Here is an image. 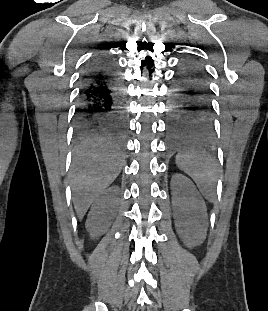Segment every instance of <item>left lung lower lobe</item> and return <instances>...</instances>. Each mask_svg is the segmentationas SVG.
<instances>
[{"mask_svg": "<svg viewBox=\"0 0 268 311\" xmlns=\"http://www.w3.org/2000/svg\"><path fill=\"white\" fill-rule=\"evenodd\" d=\"M167 117L168 141H215L210 89L198 61L188 58L180 63Z\"/></svg>", "mask_w": 268, "mask_h": 311, "instance_id": "left-lung-lower-lobe-1", "label": "left lung lower lobe"}]
</instances>
